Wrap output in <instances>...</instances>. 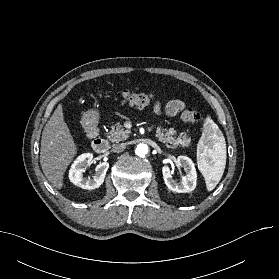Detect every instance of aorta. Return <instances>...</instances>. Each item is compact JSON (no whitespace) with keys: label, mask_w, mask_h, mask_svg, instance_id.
Wrapping results in <instances>:
<instances>
[{"label":"aorta","mask_w":279,"mask_h":279,"mask_svg":"<svg viewBox=\"0 0 279 279\" xmlns=\"http://www.w3.org/2000/svg\"><path fill=\"white\" fill-rule=\"evenodd\" d=\"M148 153V146L146 144H138L135 150V154L139 157H145Z\"/></svg>","instance_id":"1"}]
</instances>
